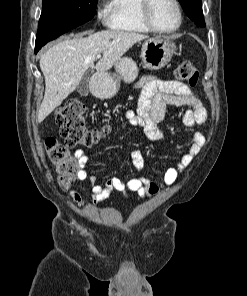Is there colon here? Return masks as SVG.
Wrapping results in <instances>:
<instances>
[{"instance_id":"5ec220e1","label":"colon","mask_w":247,"mask_h":296,"mask_svg":"<svg viewBox=\"0 0 247 296\" xmlns=\"http://www.w3.org/2000/svg\"><path fill=\"white\" fill-rule=\"evenodd\" d=\"M178 79L195 87L198 83L199 72L190 61H183L176 69ZM86 108L79 100H70L56 112L55 121L60 129L65 145L54 138L46 140L48 155L58 174V182L62 188L71 186L79 171V161L73 156L69 148L75 146L90 147L96 144L109 130L90 129L86 124Z\"/></svg>"}]
</instances>
